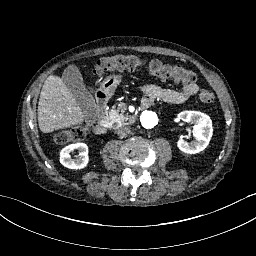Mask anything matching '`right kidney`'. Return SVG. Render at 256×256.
<instances>
[{"instance_id":"1","label":"right kidney","mask_w":256,"mask_h":256,"mask_svg":"<svg viewBox=\"0 0 256 256\" xmlns=\"http://www.w3.org/2000/svg\"><path fill=\"white\" fill-rule=\"evenodd\" d=\"M79 150L78 158H71V153ZM89 151L86 143H74L65 146L60 151V163L71 170H82L89 164Z\"/></svg>"}]
</instances>
